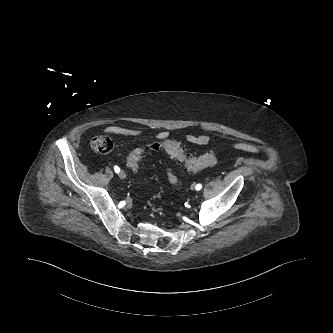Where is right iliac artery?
<instances>
[{"label":"right iliac artery","mask_w":333,"mask_h":333,"mask_svg":"<svg viewBox=\"0 0 333 333\" xmlns=\"http://www.w3.org/2000/svg\"><path fill=\"white\" fill-rule=\"evenodd\" d=\"M114 170H115L116 173L120 172V168L118 166H114Z\"/></svg>","instance_id":"1"}]
</instances>
